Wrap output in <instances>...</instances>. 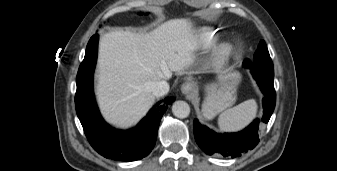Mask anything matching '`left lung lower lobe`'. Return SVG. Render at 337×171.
Instances as JSON below:
<instances>
[{
	"label": "left lung lower lobe",
	"mask_w": 337,
	"mask_h": 171,
	"mask_svg": "<svg viewBox=\"0 0 337 171\" xmlns=\"http://www.w3.org/2000/svg\"><path fill=\"white\" fill-rule=\"evenodd\" d=\"M253 78L261 89L263 116L254 120L246 129L238 133L217 134L194 120V135L199 147L208 155L235 158L252 150L259 142V124L267 123L274 111L276 93L273 85L274 72L250 68Z\"/></svg>",
	"instance_id": "0a47b994"
}]
</instances>
